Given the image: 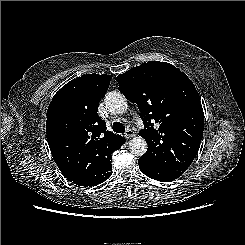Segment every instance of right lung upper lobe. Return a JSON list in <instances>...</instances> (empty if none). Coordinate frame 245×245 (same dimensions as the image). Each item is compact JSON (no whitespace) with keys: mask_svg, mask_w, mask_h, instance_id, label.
<instances>
[{"mask_svg":"<svg viewBox=\"0 0 245 245\" xmlns=\"http://www.w3.org/2000/svg\"><path fill=\"white\" fill-rule=\"evenodd\" d=\"M111 78L86 74L68 82L54 95L46 115L47 141L57 166L75 167L84 187L101 180L93 161L96 150L112 149L124 141L107 131L97 114Z\"/></svg>","mask_w":245,"mask_h":245,"instance_id":"right-lung-upper-lobe-1","label":"right lung upper lobe"}]
</instances>
